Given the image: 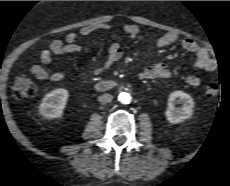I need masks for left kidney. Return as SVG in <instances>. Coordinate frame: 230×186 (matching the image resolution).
<instances>
[{
	"mask_svg": "<svg viewBox=\"0 0 230 186\" xmlns=\"http://www.w3.org/2000/svg\"><path fill=\"white\" fill-rule=\"evenodd\" d=\"M181 103L182 107L176 108L175 104ZM194 101L183 91H174L168 97V107L165 111L166 119L173 124L182 122L193 115Z\"/></svg>",
	"mask_w": 230,
	"mask_h": 186,
	"instance_id": "obj_1",
	"label": "left kidney"
}]
</instances>
